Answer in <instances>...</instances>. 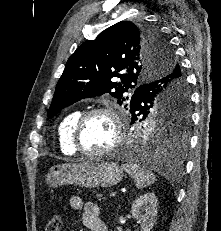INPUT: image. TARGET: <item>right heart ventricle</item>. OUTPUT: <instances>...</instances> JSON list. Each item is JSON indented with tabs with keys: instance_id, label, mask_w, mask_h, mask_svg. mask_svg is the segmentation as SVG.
Segmentation results:
<instances>
[{
	"instance_id": "obj_1",
	"label": "right heart ventricle",
	"mask_w": 221,
	"mask_h": 231,
	"mask_svg": "<svg viewBox=\"0 0 221 231\" xmlns=\"http://www.w3.org/2000/svg\"><path fill=\"white\" fill-rule=\"evenodd\" d=\"M79 110L71 111L66 114L60 121L57 129L58 142L60 150L66 155H73L76 153L72 145V132L75 121L80 116Z\"/></svg>"
}]
</instances>
